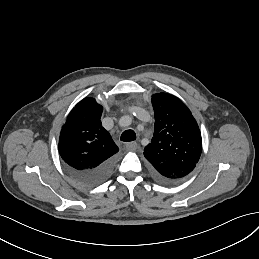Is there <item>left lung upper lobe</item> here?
Wrapping results in <instances>:
<instances>
[{"instance_id":"left-lung-upper-lobe-1","label":"left lung upper lobe","mask_w":259,"mask_h":259,"mask_svg":"<svg viewBox=\"0 0 259 259\" xmlns=\"http://www.w3.org/2000/svg\"><path fill=\"white\" fill-rule=\"evenodd\" d=\"M155 115L154 136L144 149L154 174L178 181L198 163L202 138L198 124L186 105L173 95L157 93L152 97Z\"/></svg>"}]
</instances>
